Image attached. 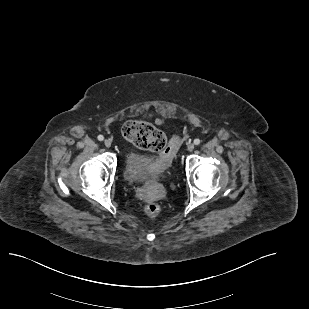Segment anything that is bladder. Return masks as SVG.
<instances>
[{"instance_id": "obj_1", "label": "bladder", "mask_w": 309, "mask_h": 309, "mask_svg": "<svg viewBox=\"0 0 309 309\" xmlns=\"http://www.w3.org/2000/svg\"><path fill=\"white\" fill-rule=\"evenodd\" d=\"M154 162V158L150 156L136 151H129L125 157L124 178L133 183L147 182L157 178L160 174L153 172L152 165Z\"/></svg>"}]
</instances>
